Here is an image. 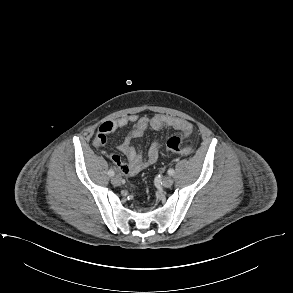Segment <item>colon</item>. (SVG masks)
Segmentation results:
<instances>
[{
    "mask_svg": "<svg viewBox=\"0 0 293 293\" xmlns=\"http://www.w3.org/2000/svg\"><path fill=\"white\" fill-rule=\"evenodd\" d=\"M167 152L178 155H189L195 148V141L189 137L173 135L165 144Z\"/></svg>",
    "mask_w": 293,
    "mask_h": 293,
    "instance_id": "obj_1",
    "label": "colon"
}]
</instances>
